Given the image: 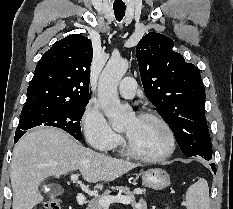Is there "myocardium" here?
Listing matches in <instances>:
<instances>
[{"label": "myocardium", "mask_w": 233, "mask_h": 209, "mask_svg": "<svg viewBox=\"0 0 233 209\" xmlns=\"http://www.w3.org/2000/svg\"><path fill=\"white\" fill-rule=\"evenodd\" d=\"M137 117L152 118L156 120L158 123H160L167 134L168 145H167L166 150L162 154H159L156 156H146V155H143L137 152L131 145L128 137L125 135L124 136V150L126 154L132 157L133 159H136L141 162H146V163H158V162H162L168 159L173 154L175 150V146H176L175 135H174V132L170 124L160 114L152 110L141 111L137 114Z\"/></svg>", "instance_id": "obj_1"}]
</instances>
